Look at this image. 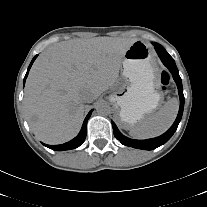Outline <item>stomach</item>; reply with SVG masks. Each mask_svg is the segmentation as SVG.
<instances>
[{
  "instance_id": "0dacf381",
  "label": "stomach",
  "mask_w": 207,
  "mask_h": 207,
  "mask_svg": "<svg viewBox=\"0 0 207 207\" xmlns=\"http://www.w3.org/2000/svg\"><path fill=\"white\" fill-rule=\"evenodd\" d=\"M110 100L115 106V119L124 129H130L161 104L163 95L158 90L153 53L144 42L135 41L125 52L121 78Z\"/></svg>"
}]
</instances>
